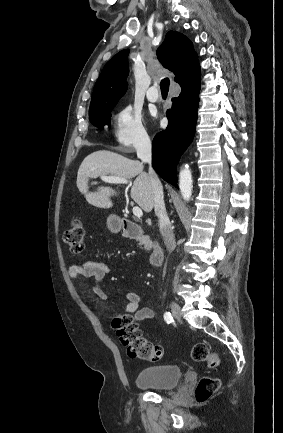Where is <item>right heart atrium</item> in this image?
I'll return each mask as SVG.
<instances>
[{
  "instance_id": "right-heart-atrium-1",
  "label": "right heart atrium",
  "mask_w": 283,
  "mask_h": 433,
  "mask_svg": "<svg viewBox=\"0 0 283 433\" xmlns=\"http://www.w3.org/2000/svg\"><path fill=\"white\" fill-rule=\"evenodd\" d=\"M113 149L129 155L146 149L151 138L145 126L142 111L130 104L120 107L112 117Z\"/></svg>"
}]
</instances>
